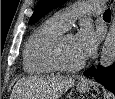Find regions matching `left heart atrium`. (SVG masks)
<instances>
[{"label":"left heart atrium","instance_id":"39dd6f15","mask_svg":"<svg viewBox=\"0 0 115 99\" xmlns=\"http://www.w3.org/2000/svg\"><path fill=\"white\" fill-rule=\"evenodd\" d=\"M99 34L89 23H85L75 36V42L83 60L90 57L96 50Z\"/></svg>","mask_w":115,"mask_h":99}]
</instances>
